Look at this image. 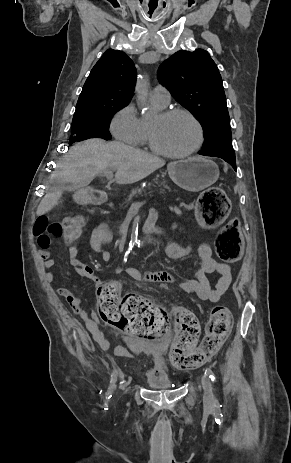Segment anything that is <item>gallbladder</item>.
Returning a JSON list of instances; mask_svg holds the SVG:
<instances>
[{"label": "gallbladder", "instance_id": "bac80fb5", "mask_svg": "<svg viewBox=\"0 0 291 463\" xmlns=\"http://www.w3.org/2000/svg\"><path fill=\"white\" fill-rule=\"evenodd\" d=\"M65 187H66V189L69 190V191H72V190H75V189H76V187H75L73 184H71V183H67V184L65 185Z\"/></svg>", "mask_w": 291, "mask_h": 463}]
</instances>
